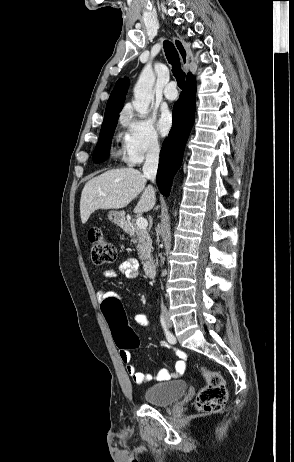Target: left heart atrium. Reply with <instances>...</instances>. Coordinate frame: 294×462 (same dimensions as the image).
Returning a JSON list of instances; mask_svg holds the SVG:
<instances>
[{
    "label": "left heart atrium",
    "instance_id": "obj_1",
    "mask_svg": "<svg viewBox=\"0 0 294 462\" xmlns=\"http://www.w3.org/2000/svg\"><path fill=\"white\" fill-rule=\"evenodd\" d=\"M173 125V118L170 112L163 111L157 122V127L162 135H167Z\"/></svg>",
    "mask_w": 294,
    "mask_h": 462
}]
</instances>
